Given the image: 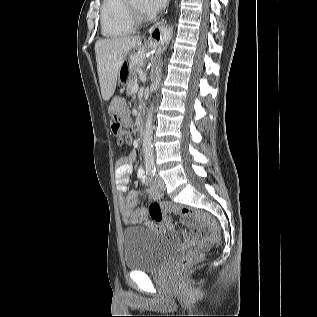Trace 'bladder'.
Returning a JSON list of instances; mask_svg holds the SVG:
<instances>
[{
  "label": "bladder",
  "instance_id": "31cf9c89",
  "mask_svg": "<svg viewBox=\"0 0 317 317\" xmlns=\"http://www.w3.org/2000/svg\"><path fill=\"white\" fill-rule=\"evenodd\" d=\"M124 262L128 270L151 271L163 267L178 250L176 241L141 227L124 231Z\"/></svg>",
  "mask_w": 317,
  "mask_h": 317
}]
</instances>
